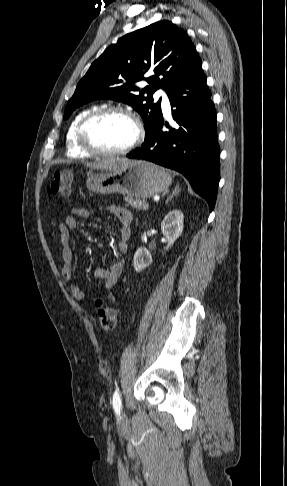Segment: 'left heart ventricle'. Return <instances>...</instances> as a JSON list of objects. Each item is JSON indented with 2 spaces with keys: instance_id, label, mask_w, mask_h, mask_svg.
I'll list each match as a JSON object with an SVG mask.
<instances>
[{
  "instance_id": "1",
  "label": "left heart ventricle",
  "mask_w": 287,
  "mask_h": 486,
  "mask_svg": "<svg viewBox=\"0 0 287 486\" xmlns=\"http://www.w3.org/2000/svg\"><path fill=\"white\" fill-rule=\"evenodd\" d=\"M89 142L97 149L114 151L128 145L135 134L131 121L121 114H109L94 121L88 128Z\"/></svg>"
}]
</instances>
